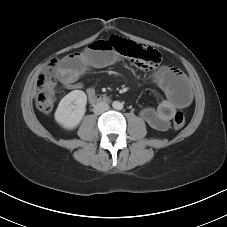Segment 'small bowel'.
<instances>
[{"mask_svg": "<svg viewBox=\"0 0 227 227\" xmlns=\"http://www.w3.org/2000/svg\"><path fill=\"white\" fill-rule=\"evenodd\" d=\"M117 60L118 53L111 49L110 44L105 40H97L82 52L65 57L57 68V75L65 89H80L83 84L79 79L89 67L104 68L113 65ZM154 79L164 92L165 99L156 108L141 110L140 116L152 128L165 131L175 111L191 104L192 93L187 78L177 68L162 66L155 71ZM94 93L93 88L87 89L89 97Z\"/></svg>", "mask_w": 227, "mask_h": 227, "instance_id": "1", "label": "small bowel"}]
</instances>
